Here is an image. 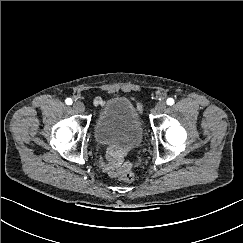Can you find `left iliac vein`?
<instances>
[{
	"instance_id": "obj_1",
	"label": "left iliac vein",
	"mask_w": 243,
	"mask_h": 243,
	"mask_svg": "<svg viewBox=\"0 0 243 243\" xmlns=\"http://www.w3.org/2000/svg\"><path fill=\"white\" fill-rule=\"evenodd\" d=\"M166 108V102L165 101H159L156 106H155V110L157 112H162L164 111Z\"/></svg>"
}]
</instances>
